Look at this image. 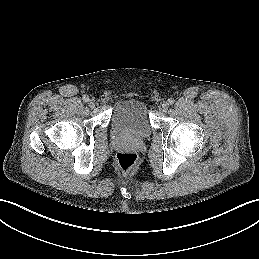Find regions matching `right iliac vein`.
Listing matches in <instances>:
<instances>
[{"label": "right iliac vein", "instance_id": "63e3f726", "mask_svg": "<svg viewBox=\"0 0 259 259\" xmlns=\"http://www.w3.org/2000/svg\"><path fill=\"white\" fill-rule=\"evenodd\" d=\"M88 103L91 108L95 106V101L93 99H90Z\"/></svg>", "mask_w": 259, "mask_h": 259}]
</instances>
